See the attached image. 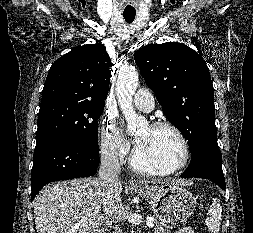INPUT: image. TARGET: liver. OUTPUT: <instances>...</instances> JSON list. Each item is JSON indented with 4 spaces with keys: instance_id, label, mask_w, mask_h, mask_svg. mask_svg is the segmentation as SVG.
Wrapping results in <instances>:
<instances>
[{
    "instance_id": "obj_1",
    "label": "liver",
    "mask_w": 253,
    "mask_h": 233,
    "mask_svg": "<svg viewBox=\"0 0 253 233\" xmlns=\"http://www.w3.org/2000/svg\"><path fill=\"white\" fill-rule=\"evenodd\" d=\"M33 204L37 233H89L100 218L102 189L97 178L59 182L47 185Z\"/></svg>"
}]
</instances>
